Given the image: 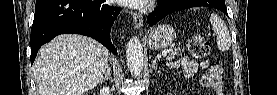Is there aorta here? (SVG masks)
<instances>
[{
	"label": "aorta",
	"instance_id": "aorta-1",
	"mask_svg": "<svg viewBox=\"0 0 277 95\" xmlns=\"http://www.w3.org/2000/svg\"><path fill=\"white\" fill-rule=\"evenodd\" d=\"M127 66L132 75L140 76L144 66L142 44L137 37H132L126 49Z\"/></svg>",
	"mask_w": 277,
	"mask_h": 95
}]
</instances>
